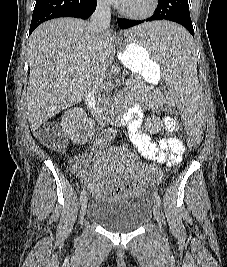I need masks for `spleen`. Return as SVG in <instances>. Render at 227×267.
Returning <instances> with one entry per match:
<instances>
[{"label": "spleen", "mask_w": 227, "mask_h": 267, "mask_svg": "<svg viewBox=\"0 0 227 267\" xmlns=\"http://www.w3.org/2000/svg\"><path fill=\"white\" fill-rule=\"evenodd\" d=\"M132 33H125L124 43H136L146 47L151 59L164 63L163 81H168L170 94L176 98L178 115H203L202 96L197 76L194 53L196 38H190L188 29H183L174 19H152L134 25ZM199 105V106H198ZM188 137L205 134V116H181Z\"/></svg>", "instance_id": "1"}]
</instances>
